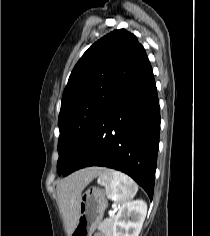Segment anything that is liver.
Segmentation results:
<instances>
[{
	"label": "liver",
	"mask_w": 210,
	"mask_h": 236,
	"mask_svg": "<svg viewBox=\"0 0 210 236\" xmlns=\"http://www.w3.org/2000/svg\"><path fill=\"white\" fill-rule=\"evenodd\" d=\"M103 171L105 169L101 167H90L79 170L58 182L57 195L59 207L69 235L73 232L78 220L83 189Z\"/></svg>",
	"instance_id": "6515ba94"
}]
</instances>
